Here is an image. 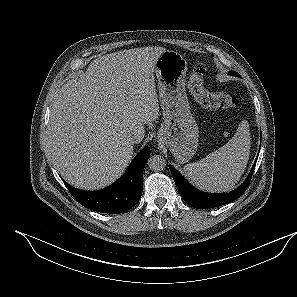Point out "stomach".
<instances>
[{
  "label": "stomach",
  "mask_w": 297,
  "mask_h": 297,
  "mask_svg": "<svg viewBox=\"0 0 297 297\" xmlns=\"http://www.w3.org/2000/svg\"><path fill=\"white\" fill-rule=\"evenodd\" d=\"M186 72V60L173 50H165L155 62L154 73L164 120L157 139L181 164L194 156L199 141V128L185 90Z\"/></svg>",
  "instance_id": "1"
}]
</instances>
